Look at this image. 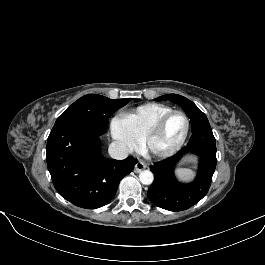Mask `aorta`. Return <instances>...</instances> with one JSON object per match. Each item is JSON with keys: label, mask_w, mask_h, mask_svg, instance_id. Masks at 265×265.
I'll list each match as a JSON object with an SVG mask.
<instances>
[{"label": "aorta", "mask_w": 265, "mask_h": 265, "mask_svg": "<svg viewBox=\"0 0 265 265\" xmlns=\"http://www.w3.org/2000/svg\"><path fill=\"white\" fill-rule=\"evenodd\" d=\"M140 182L144 185H150L154 180V175L150 170H144L139 174Z\"/></svg>", "instance_id": "1"}]
</instances>
